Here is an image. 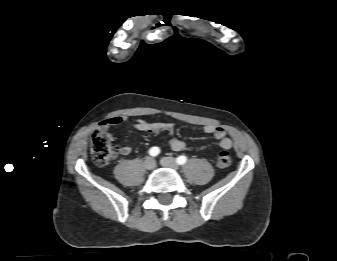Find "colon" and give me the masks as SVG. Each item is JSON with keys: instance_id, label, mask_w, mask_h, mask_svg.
I'll return each mask as SVG.
<instances>
[{"instance_id": "colon-1", "label": "colon", "mask_w": 337, "mask_h": 261, "mask_svg": "<svg viewBox=\"0 0 337 261\" xmlns=\"http://www.w3.org/2000/svg\"><path fill=\"white\" fill-rule=\"evenodd\" d=\"M90 150L94 162L98 165L107 164L115 154V148L109 133L97 130L90 139ZM231 164L229 152L222 151L217 155L216 166L218 169H225Z\"/></svg>"}]
</instances>
